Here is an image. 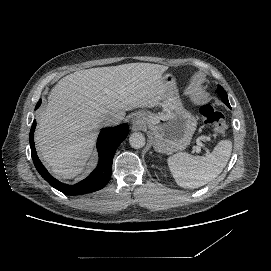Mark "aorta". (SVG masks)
Here are the masks:
<instances>
[{"label":"aorta","instance_id":"762f6f07","mask_svg":"<svg viewBox=\"0 0 271 271\" xmlns=\"http://www.w3.org/2000/svg\"><path fill=\"white\" fill-rule=\"evenodd\" d=\"M145 136L140 132L133 133L129 138V144L134 149H141L145 146Z\"/></svg>","mask_w":271,"mask_h":271}]
</instances>
